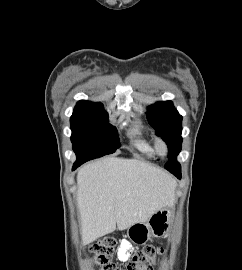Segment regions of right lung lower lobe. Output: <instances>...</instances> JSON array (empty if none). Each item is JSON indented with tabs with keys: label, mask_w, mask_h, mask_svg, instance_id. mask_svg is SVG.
I'll list each match as a JSON object with an SVG mask.
<instances>
[{
	"label": "right lung lower lobe",
	"mask_w": 242,
	"mask_h": 270,
	"mask_svg": "<svg viewBox=\"0 0 242 270\" xmlns=\"http://www.w3.org/2000/svg\"><path fill=\"white\" fill-rule=\"evenodd\" d=\"M80 165H81V163H74L73 170L76 169L77 167H79Z\"/></svg>",
	"instance_id": "1"
}]
</instances>
